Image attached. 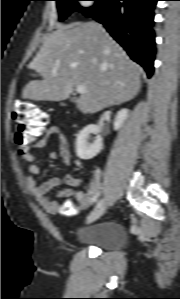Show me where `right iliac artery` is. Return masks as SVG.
<instances>
[{
  "label": "right iliac artery",
  "mask_w": 180,
  "mask_h": 299,
  "mask_svg": "<svg viewBox=\"0 0 180 299\" xmlns=\"http://www.w3.org/2000/svg\"><path fill=\"white\" fill-rule=\"evenodd\" d=\"M103 202H104L103 199L99 200V201L97 202L95 208L100 207V206L103 204Z\"/></svg>",
  "instance_id": "82829eb1"
}]
</instances>
